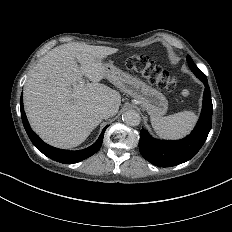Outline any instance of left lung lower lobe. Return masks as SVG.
<instances>
[{"label":"left lung lower lobe","instance_id":"0a47b994","mask_svg":"<svg viewBox=\"0 0 232 232\" xmlns=\"http://www.w3.org/2000/svg\"><path fill=\"white\" fill-rule=\"evenodd\" d=\"M205 86L199 121L193 131L180 140H158L140 131L139 150L142 156L158 167H171L194 157L205 143L212 127L213 105L207 78H199Z\"/></svg>","mask_w":232,"mask_h":232}]
</instances>
